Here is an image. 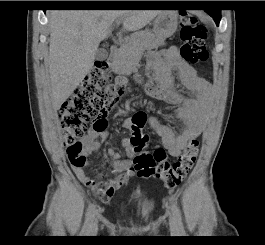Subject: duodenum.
Wrapping results in <instances>:
<instances>
[{
    "mask_svg": "<svg viewBox=\"0 0 265 245\" xmlns=\"http://www.w3.org/2000/svg\"><path fill=\"white\" fill-rule=\"evenodd\" d=\"M118 56V46L117 45H112L110 50H109V56L108 60L109 61H114L117 59Z\"/></svg>",
    "mask_w": 265,
    "mask_h": 245,
    "instance_id": "obj_1",
    "label": "duodenum"
}]
</instances>
